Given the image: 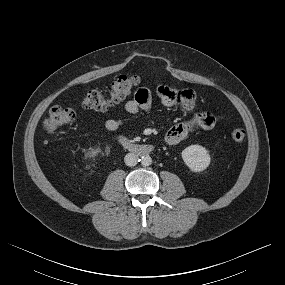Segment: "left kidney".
I'll list each match as a JSON object with an SVG mask.
<instances>
[{"label":"left kidney","mask_w":285,"mask_h":285,"mask_svg":"<svg viewBox=\"0 0 285 285\" xmlns=\"http://www.w3.org/2000/svg\"><path fill=\"white\" fill-rule=\"evenodd\" d=\"M182 159L193 172L205 170L211 161L206 148L200 145H191L186 147L182 153Z\"/></svg>","instance_id":"left-kidney-1"}]
</instances>
